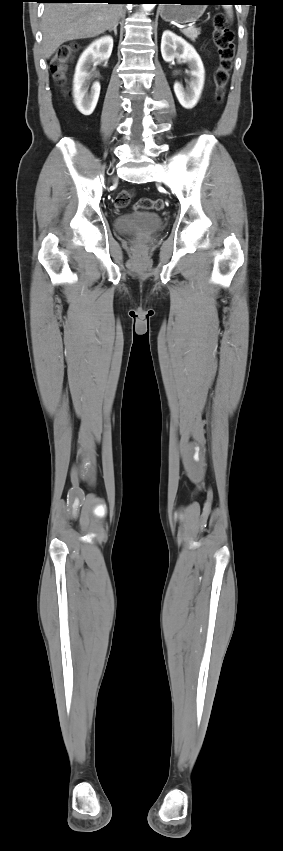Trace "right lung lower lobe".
I'll return each instance as SVG.
<instances>
[{"instance_id": "1", "label": "right lung lower lobe", "mask_w": 283, "mask_h": 851, "mask_svg": "<svg viewBox=\"0 0 283 851\" xmlns=\"http://www.w3.org/2000/svg\"><path fill=\"white\" fill-rule=\"evenodd\" d=\"M44 2H72V3H140L141 0H44Z\"/></svg>"}]
</instances>
